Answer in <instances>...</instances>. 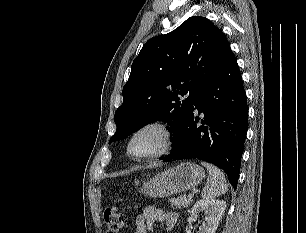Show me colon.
I'll list each match as a JSON object with an SVG mask.
<instances>
[{
  "label": "colon",
  "instance_id": "obj_1",
  "mask_svg": "<svg viewBox=\"0 0 306 233\" xmlns=\"http://www.w3.org/2000/svg\"><path fill=\"white\" fill-rule=\"evenodd\" d=\"M104 224L108 233H120L125 225V218L121 210L116 206H109L105 209Z\"/></svg>",
  "mask_w": 306,
  "mask_h": 233
}]
</instances>
